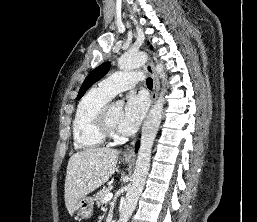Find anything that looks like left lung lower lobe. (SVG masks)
I'll return each mask as SVG.
<instances>
[{"label": "left lung lower lobe", "mask_w": 257, "mask_h": 222, "mask_svg": "<svg viewBox=\"0 0 257 222\" xmlns=\"http://www.w3.org/2000/svg\"><path fill=\"white\" fill-rule=\"evenodd\" d=\"M139 145H140L139 142H137L136 147H135L136 150L139 148Z\"/></svg>", "instance_id": "left-lung-lower-lobe-1"}]
</instances>
